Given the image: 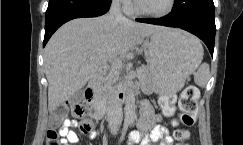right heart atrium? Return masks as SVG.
I'll return each instance as SVG.
<instances>
[{"instance_id": "1", "label": "right heart atrium", "mask_w": 243, "mask_h": 145, "mask_svg": "<svg viewBox=\"0 0 243 145\" xmlns=\"http://www.w3.org/2000/svg\"><path fill=\"white\" fill-rule=\"evenodd\" d=\"M125 8H128L131 5L132 0H116Z\"/></svg>"}]
</instances>
